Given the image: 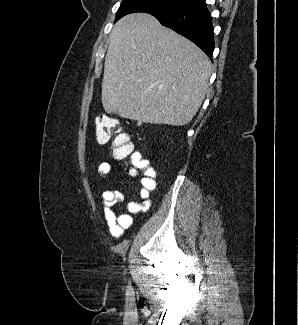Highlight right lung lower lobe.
Instances as JSON below:
<instances>
[{
  "label": "right lung lower lobe",
  "mask_w": 298,
  "mask_h": 325,
  "mask_svg": "<svg viewBox=\"0 0 298 325\" xmlns=\"http://www.w3.org/2000/svg\"><path fill=\"white\" fill-rule=\"evenodd\" d=\"M153 16L162 25L193 41L209 57H212L214 36L211 16L205 0H193L178 10Z\"/></svg>",
  "instance_id": "obj_1"
}]
</instances>
